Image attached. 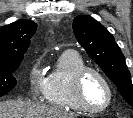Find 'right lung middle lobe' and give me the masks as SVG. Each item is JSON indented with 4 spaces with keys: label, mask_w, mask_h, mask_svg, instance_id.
<instances>
[{
    "label": "right lung middle lobe",
    "mask_w": 133,
    "mask_h": 118,
    "mask_svg": "<svg viewBox=\"0 0 133 118\" xmlns=\"http://www.w3.org/2000/svg\"><path fill=\"white\" fill-rule=\"evenodd\" d=\"M21 61L0 62V97L11 91L17 84L13 72L17 70Z\"/></svg>",
    "instance_id": "dd1d6c3e"
}]
</instances>
